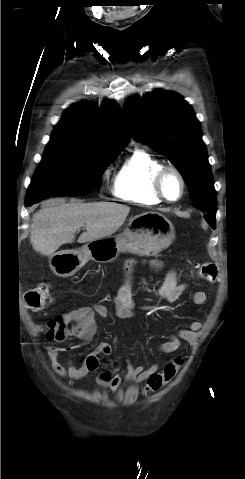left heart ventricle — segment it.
I'll return each mask as SVG.
<instances>
[{"mask_svg":"<svg viewBox=\"0 0 245 479\" xmlns=\"http://www.w3.org/2000/svg\"><path fill=\"white\" fill-rule=\"evenodd\" d=\"M180 183L178 179L174 175H170L167 177L165 181V193L168 198L176 199L180 194Z\"/></svg>","mask_w":245,"mask_h":479,"instance_id":"left-heart-ventricle-1","label":"left heart ventricle"}]
</instances>
